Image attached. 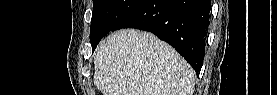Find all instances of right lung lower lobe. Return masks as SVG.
Masks as SVG:
<instances>
[{
    "label": "right lung lower lobe",
    "instance_id": "1",
    "mask_svg": "<svg viewBox=\"0 0 277 95\" xmlns=\"http://www.w3.org/2000/svg\"><path fill=\"white\" fill-rule=\"evenodd\" d=\"M210 0H144L113 29L154 33L174 47L199 75L205 55Z\"/></svg>",
    "mask_w": 277,
    "mask_h": 95
}]
</instances>
